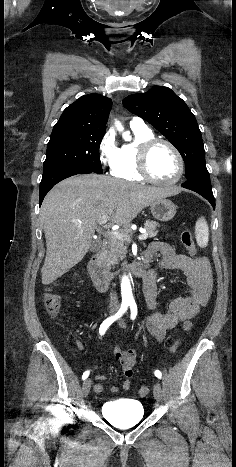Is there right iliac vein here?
I'll use <instances>...</instances> for the list:
<instances>
[{
  "label": "right iliac vein",
  "instance_id": "1",
  "mask_svg": "<svg viewBox=\"0 0 236 467\" xmlns=\"http://www.w3.org/2000/svg\"><path fill=\"white\" fill-rule=\"evenodd\" d=\"M90 389H91V380H90V379H86V380L83 382V385H82V391H83V395H84L85 397L89 394Z\"/></svg>",
  "mask_w": 236,
  "mask_h": 467
}]
</instances>
